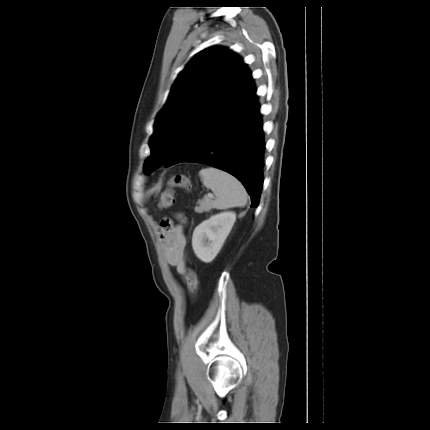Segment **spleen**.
I'll use <instances>...</instances> for the list:
<instances>
[{
  "instance_id": "spleen-1",
  "label": "spleen",
  "mask_w": 430,
  "mask_h": 430,
  "mask_svg": "<svg viewBox=\"0 0 430 430\" xmlns=\"http://www.w3.org/2000/svg\"><path fill=\"white\" fill-rule=\"evenodd\" d=\"M199 176L205 187L215 194L212 202L214 208L224 210L247 204L248 194L233 175L214 167H206L199 171Z\"/></svg>"
}]
</instances>
